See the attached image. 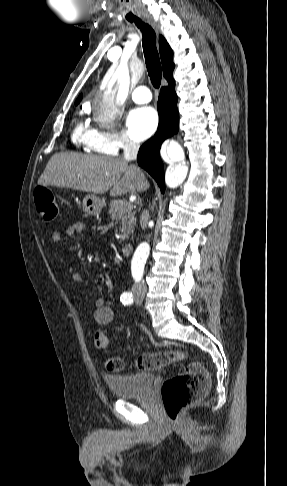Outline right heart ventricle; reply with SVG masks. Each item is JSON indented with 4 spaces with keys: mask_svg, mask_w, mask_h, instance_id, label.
Segmentation results:
<instances>
[{
    "mask_svg": "<svg viewBox=\"0 0 287 486\" xmlns=\"http://www.w3.org/2000/svg\"><path fill=\"white\" fill-rule=\"evenodd\" d=\"M96 130L84 123H78L72 133V141L77 146L91 149L92 141L95 137Z\"/></svg>",
    "mask_w": 287,
    "mask_h": 486,
    "instance_id": "obj_1",
    "label": "right heart ventricle"
}]
</instances>
